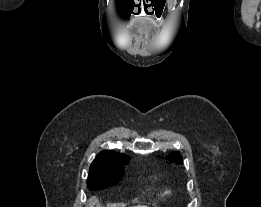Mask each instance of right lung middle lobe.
<instances>
[{
	"mask_svg": "<svg viewBox=\"0 0 261 207\" xmlns=\"http://www.w3.org/2000/svg\"><path fill=\"white\" fill-rule=\"evenodd\" d=\"M129 159L108 167H90L87 186L90 190L105 189L117 184L124 175Z\"/></svg>",
	"mask_w": 261,
	"mask_h": 207,
	"instance_id": "1",
	"label": "right lung middle lobe"
}]
</instances>
